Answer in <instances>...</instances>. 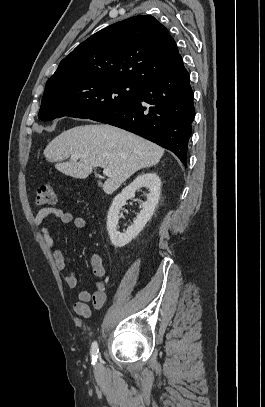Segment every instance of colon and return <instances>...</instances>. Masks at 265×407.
Here are the masks:
<instances>
[{
  "label": "colon",
  "instance_id": "obj_1",
  "mask_svg": "<svg viewBox=\"0 0 265 407\" xmlns=\"http://www.w3.org/2000/svg\"><path fill=\"white\" fill-rule=\"evenodd\" d=\"M57 192L50 185L43 184L38 186L36 192V204L37 205H50L53 204L57 199Z\"/></svg>",
  "mask_w": 265,
  "mask_h": 407
}]
</instances>
